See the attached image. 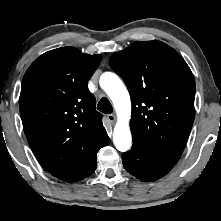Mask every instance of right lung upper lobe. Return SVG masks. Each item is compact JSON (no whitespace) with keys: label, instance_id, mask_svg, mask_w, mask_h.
<instances>
[{"label":"right lung upper lobe","instance_id":"right-lung-upper-lobe-1","mask_svg":"<svg viewBox=\"0 0 221 221\" xmlns=\"http://www.w3.org/2000/svg\"><path fill=\"white\" fill-rule=\"evenodd\" d=\"M102 60L74 47L48 51L26 71L19 98L28 143L39 163L64 179L108 138L88 80Z\"/></svg>","mask_w":221,"mask_h":221}]
</instances>
